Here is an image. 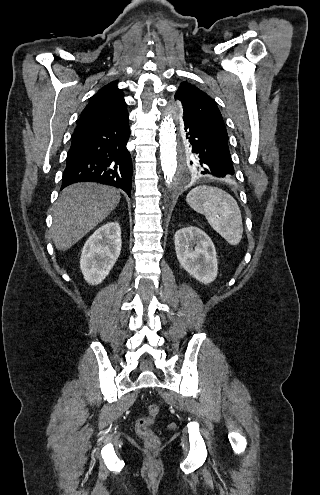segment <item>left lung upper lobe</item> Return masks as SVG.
Segmentation results:
<instances>
[{
  "label": "left lung upper lobe",
  "instance_id": "left-lung-upper-lobe-1",
  "mask_svg": "<svg viewBox=\"0 0 320 495\" xmlns=\"http://www.w3.org/2000/svg\"><path fill=\"white\" fill-rule=\"evenodd\" d=\"M175 99L181 103L180 113L183 117L197 120L218 138L228 142L222 115L215 102L205 92L188 82H181L175 93ZM199 154L200 152L187 141L181 143L178 149V158H181L189 178L203 176Z\"/></svg>",
  "mask_w": 320,
  "mask_h": 495
}]
</instances>
